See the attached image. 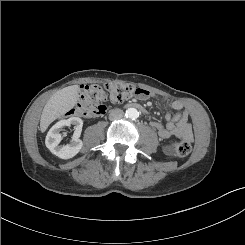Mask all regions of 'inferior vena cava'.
I'll list each match as a JSON object with an SVG mask.
<instances>
[{
	"label": "inferior vena cava",
	"instance_id": "inferior-vena-cava-1",
	"mask_svg": "<svg viewBox=\"0 0 245 245\" xmlns=\"http://www.w3.org/2000/svg\"><path fill=\"white\" fill-rule=\"evenodd\" d=\"M123 115H124V112L121 109H114L110 111L109 119L111 121L119 120L123 117Z\"/></svg>",
	"mask_w": 245,
	"mask_h": 245
}]
</instances>
